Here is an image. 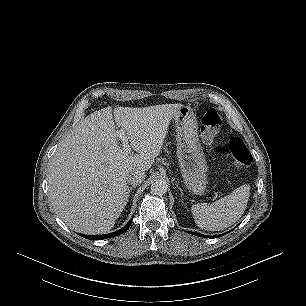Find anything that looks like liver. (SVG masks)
<instances>
[{
  "mask_svg": "<svg viewBox=\"0 0 306 306\" xmlns=\"http://www.w3.org/2000/svg\"><path fill=\"white\" fill-rule=\"evenodd\" d=\"M182 106L106 107L84 118L61 141L50 163L48 189L68 227L89 235L113 228L128 202V175L151 168ZM115 128L125 131L137 154L120 147Z\"/></svg>",
  "mask_w": 306,
  "mask_h": 306,
  "instance_id": "obj_1",
  "label": "liver"
}]
</instances>
